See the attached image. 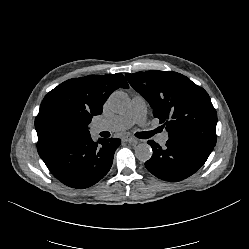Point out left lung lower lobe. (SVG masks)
I'll return each mask as SVG.
<instances>
[{
    "mask_svg": "<svg viewBox=\"0 0 249 249\" xmlns=\"http://www.w3.org/2000/svg\"><path fill=\"white\" fill-rule=\"evenodd\" d=\"M152 157L145 162L149 172L156 177L176 182L194 174L207 160L214 146L188 139L169 138L161 147L153 140Z\"/></svg>",
    "mask_w": 249,
    "mask_h": 249,
    "instance_id": "1",
    "label": "left lung lower lobe"
}]
</instances>
